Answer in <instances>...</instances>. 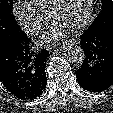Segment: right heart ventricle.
Returning a JSON list of instances; mask_svg holds the SVG:
<instances>
[{
    "mask_svg": "<svg viewBox=\"0 0 113 113\" xmlns=\"http://www.w3.org/2000/svg\"><path fill=\"white\" fill-rule=\"evenodd\" d=\"M53 0H25L27 4L38 10L40 13L48 15L51 2Z\"/></svg>",
    "mask_w": 113,
    "mask_h": 113,
    "instance_id": "obj_1",
    "label": "right heart ventricle"
}]
</instances>
